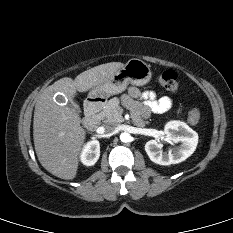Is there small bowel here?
I'll use <instances>...</instances> for the list:
<instances>
[{"label":"small bowel","instance_id":"small-bowel-1","mask_svg":"<svg viewBox=\"0 0 233 233\" xmlns=\"http://www.w3.org/2000/svg\"><path fill=\"white\" fill-rule=\"evenodd\" d=\"M124 103L130 108L137 122L148 118L152 113L161 114L172 106L168 96L157 97L153 91H140L137 87H129L123 96Z\"/></svg>","mask_w":233,"mask_h":233}]
</instances>
